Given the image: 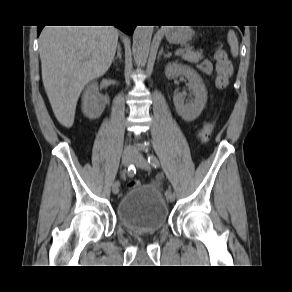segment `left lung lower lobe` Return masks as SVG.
I'll use <instances>...</instances> for the list:
<instances>
[{
	"mask_svg": "<svg viewBox=\"0 0 292 292\" xmlns=\"http://www.w3.org/2000/svg\"><path fill=\"white\" fill-rule=\"evenodd\" d=\"M240 28H241L242 32H244V27L243 26H240Z\"/></svg>",
	"mask_w": 292,
	"mask_h": 292,
	"instance_id": "left-lung-lower-lobe-1",
	"label": "left lung lower lobe"
}]
</instances>
